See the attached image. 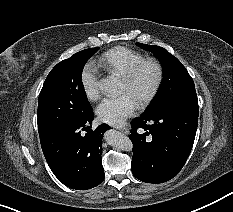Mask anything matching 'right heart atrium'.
<instances>
[{
	"instance_id": "obj_1",
	"label": "right heart atrium",
	"mask_w": 233,
	"mask_h": 212,
	"mask_svg": "<svg viewBox=\"0 0 233 212\" xmlns=\"http://www.w3.org/2000/svg\"><path fill=\"white\" fill-rule=\"evenodd\" d=\"M80 82L84 94L89 100L94 101L98 99L100 95L98 69L93 63L89 62L83 67L80 74Z\"/></svg>"
}]
</instances>
